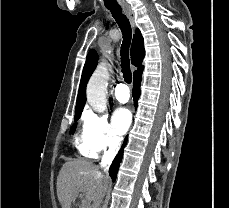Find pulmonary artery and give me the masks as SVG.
<instances>
[{"mask_svg": "<svg viewBox=\"0 0 229 208\" xmlns=\"http://www.w3.org/2000/svg\"><path fill=\"white\" fill-rule=\"evenodd\" d=\"M115 96L121 102H126L130 98V89L126 84H119L115 88Z\"/></svg>", "mask_w": 229, "mask_h": 208, "instance_id": "e3ab8cb5", "label": "pulmonary artery"}]
</instances>
